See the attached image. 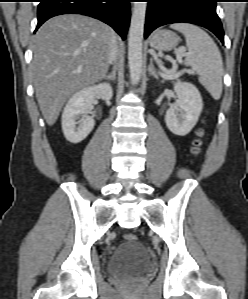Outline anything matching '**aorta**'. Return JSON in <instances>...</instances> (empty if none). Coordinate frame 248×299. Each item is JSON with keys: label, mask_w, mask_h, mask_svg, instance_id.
I'll use <instances>...</instances> for the list:
<instances>
[{"label": "aorta", "mask_w": 248, "mask_h": 299, "mask_svg": "<svg viewBox=\"0 0 248 299\" xmlns=\"http://www.w3.org/2000/svg\"><path fill=\"white\" fill-rule=\"evenodd\" d=\"M147 3L134 2L128 38V63L131 80L139 82L142 75V46Z\"/></svg>", "instance_id": "1"}]
</instances>
